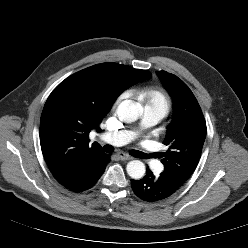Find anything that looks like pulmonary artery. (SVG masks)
<instances>
[{"instance_id": "obj_1", "label": "pulmonary artery", "mask_w": 248, "mask_h": 248, "mask_svg": "<svg viewBox=\"0 0 248 248\" xmlns=\"http://www.w3.org/2000/svg\"><path fill=\"white\" fill-rule=\"evenodd\" d=\"M166 116V112L160 108L144 107V114L142 118V128H148L157 124ZM136 132L129 130H121L115 132L104 133L100 136V139L111 145L121 146L127 144L135 139ZM151 155V154H150ZM151 156L148 157L149 164L152 168H155L157 164L156 158Z\"/></svg>"}]
</instances>
